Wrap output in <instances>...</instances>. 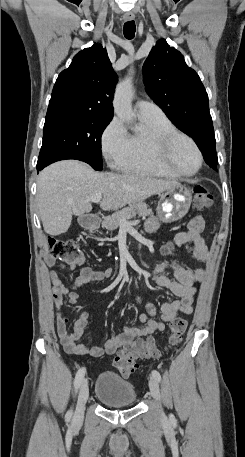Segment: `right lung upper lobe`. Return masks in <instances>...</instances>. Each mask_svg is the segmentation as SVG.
Listing matches in <instances>:
<instances>
[{"label": "right lung upper lobe", "instance_id": "obj_1", "mask_svg": "<svg viewBox=\"0 0 245 457\" xmlns=\"http://www.w3.org/2000/svg\"><path fill=\"white\" fill-rule=\"evenodd\" d=\"M117 75L100 44L80 51L54 85L47 113L90 112L113 117Z\"/></svg>", "mask_w": 245, "mask_h": 457}]
</instances>
